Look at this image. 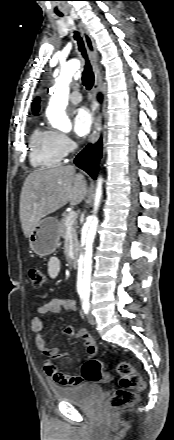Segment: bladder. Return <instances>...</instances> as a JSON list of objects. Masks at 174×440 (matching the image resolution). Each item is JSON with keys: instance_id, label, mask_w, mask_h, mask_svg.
<instances>
[{"instance_id": "obj_1", "label": "bladder", "mask_w": 174, "mask_h": 440, "mask_svg": "<svg viewBox=\"0 0 174 440\" xmlns=\"http://www.w3.org/2000/svg\"><path fill=\"white\" fill-rule=\"evenodd\" d=\"M52 390L61 402L88 404L101 394L102 388L92 383H80L69 387L53 386Z\"/></svg>"}]
</instances>
